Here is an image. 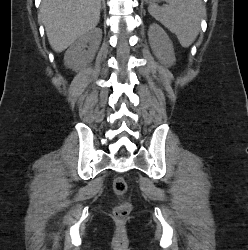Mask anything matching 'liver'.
<instances>
[{
    "label": "liver",
    "instance_id": "obj_1",
    "mask_svg": "<svg viewBox=\"0 0 248 250\" xmlns=\"http://www.w3.org/2000/svg\"><path fill=\"white\" fill-rule=\"evenodd\" d=\"M101 0H42L39 17L52 49L62 52L96 27Z\"/></svg>",
    "mask_w": 248,
    "mask_h": 250
}]
</instances>
